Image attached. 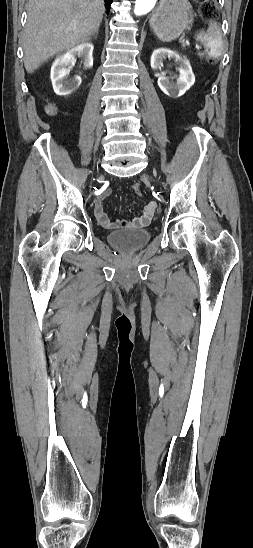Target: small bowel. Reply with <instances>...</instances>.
<instances>
[{"instance_id": "c3829d8e", "label": "small bowel", "mask_w": 253, "mask_h": 548, "mask_svg": "<svg viewBox=\"0 0 253 548\" xmlns=\"http://www.w3.org/2000/svg\"><path fill=\"white\" fill-rule=\"evenodd\" d=\"M110 195L109 190H105L101 195L97 197L94 203V212L98 222L105 228H135L143 227L150 223L157 204L154 201L148 202L142 211V213L136 216L133 220L127 221L124 219H117L111 221L107 213L104 210V200Z\"/></svg>"}]
</instances>
